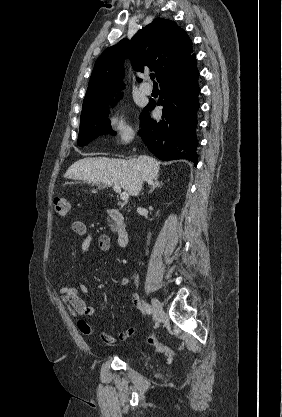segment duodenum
Returning a JSON list of instances; mask_svg holds the SVG:
<instances>
[{"label":"duodenum","instance_id":"obj_1","mask_svg":"<svg viewBox=\"0 0 282 417\" xmlns=\"http://www.w3.org/2000/svg\"><path fill=\"white\" fill-rule=\"evenodd\" d=\"M106 213L116 223V234L119 246L121 248H126L129 240V233L124 224L123 214L118 209L111 207L106 209Z\"/></svg>","mask_w":282,"mask_h":417}]
</instances>
